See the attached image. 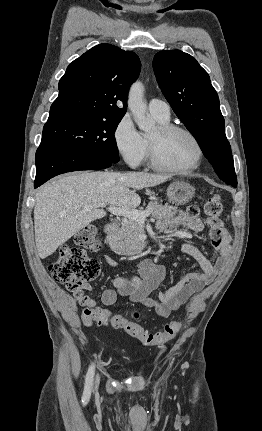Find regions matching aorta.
Listing matches in <instances>:
<instances>
[{"label":"aorta","instance_id":"obj_1","mask_svg":"<svg viewBox=\"0 0 262 431\" xmlns=\"http://www.w3.org/2000/svg\"><path fill=\"white\" fill-rule=\"evenodd\" d=\"M143 95L144 87L142 83H133L129 90L128 108L139 129L145 133H150L154 129L155 123L152 119L146 117V103L144 102Z\"/></svg>","mask_w":262,"mask_h":431}]
</instances>
